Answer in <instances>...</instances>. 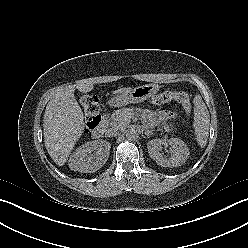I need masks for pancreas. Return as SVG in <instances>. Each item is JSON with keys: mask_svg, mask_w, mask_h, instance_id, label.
<instances>
[{"mask_svg": "<svg viewBox=\"0 0 248 248\" xmlns=\"http://www.w3.org/2000/svg\"><path fill=\"white\" fill-rule=\"evenodd\" d=\"M134 113L133 108H121L113 112L108 120L109 126L124 127L130 123L131 115ZM147 115V114H146ZM155 113H150L147 116L154 117Z\"/></svg>", "mask_w": 248, "mask_h": 248, "instance_id": "cf45deb5", "label": "pancreas"}]
</instances>
